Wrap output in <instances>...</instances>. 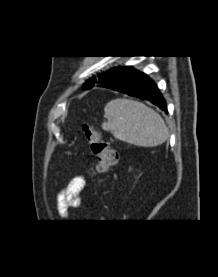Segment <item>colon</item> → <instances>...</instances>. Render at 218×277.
<instances>
[{"mask_svg":"<svg viewBox=\"0 0 218 277\" xmlns=\"http://www.w3.org/2000/svg\"><path fill=\"white\" fill-rule=\"evenodd\" d=\"M82 129L96 161L95 168L90 170V174L98 176L108 173L118 160L117 151L94 126L84 124Z\"/></svg>","mask_w":218,"mask_h":277,"instance_id":"5ec220e1","label":"colon"}]
</instances>
